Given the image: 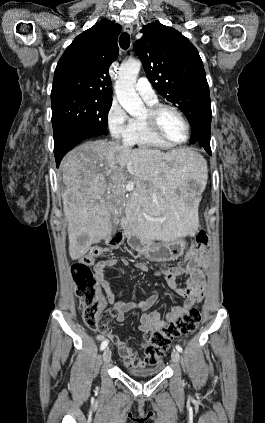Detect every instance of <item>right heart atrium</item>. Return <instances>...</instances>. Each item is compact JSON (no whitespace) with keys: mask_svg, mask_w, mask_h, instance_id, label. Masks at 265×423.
<instances>
[{"mask_svg":"<svg viewBox=\"0 0 265 423\" xmlns=\"http://www.w3.org/2000/svg\"><path fill=\"white\" fill-rule=\"evenodd\" d=\"M130 120L125 109L116 100H113L106 114V123L113 139L125 140Z\"/></svg>","mask_w":265,"mask_h":423,"instance_id":"1","label":"right heart atrium"}]
</instances>
